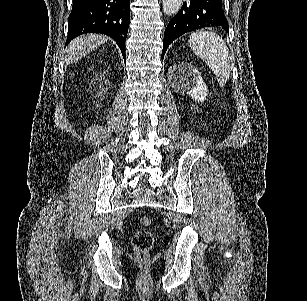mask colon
Listing matches in <instances>:
<instances>
[{
	"label": "colon",
	"mask_w": 307,
	"mask_h": 301,
	"mask_svg": "<svg viewBox=\"0 0 307 301\" xmlns=\"http://www.w3.org/2000/svg\"><path fill=\"white\" fill-rule=\"evenodd\" d=\"M139 222L143 228L134 233L132 245L136 258L141 262H145L149 258L150 250L154 244L153 233L147 229L151 226L152 220L148 216H143L140 218Z\"/></svg>",
	"instance_id": "5ec220e1"
}]
</instances>
